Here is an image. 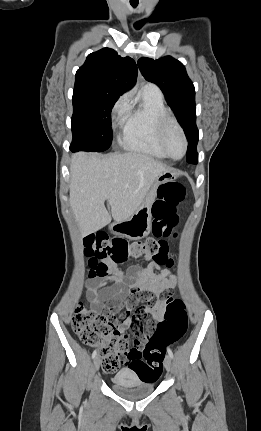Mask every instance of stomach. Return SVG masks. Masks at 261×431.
Masks as SVG:
<instances>
[{
    "instance_id": "0dacf381",
    "label": "stomach",
    "mask_w": 261,
    "mask_h": 431,
    "mask_svg": "<svg viewBox=\"0 0 261 431\" xmlns=\"http://www.w3.org/2000/svg\"><path fill=\"white\" fill-rule=\"evenodd\" d=\"M177 178L178 173L174 170L161 172L138 209L128 219L112 223L109 230L115 235H121L129 239L146 237L151 231V209L157 197L158 187Z\"/></svg>"
}]
</instances>
